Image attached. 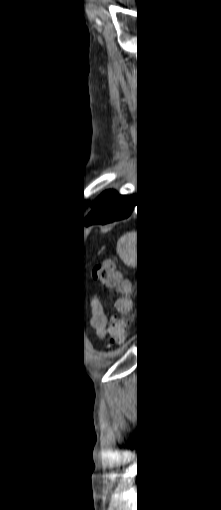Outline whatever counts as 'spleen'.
I'll list each match as a JSON object with an SVG mask.
<instances>
[{
  "label": "spleen",
  "instance_id": "1",
  "mask_svg": "<svg viewBox=\"0 0 221 510\" xmlns=\"http://www.w3.org/2000/svg\"><path fill=\"white\" fill-rule=\"evenodd\" d=\"M118 251L123 256L126 261H130L133 258V250H134V234L127 233L123 235L117 244Z\"/></svg>",
  "mask_w": 221,
  "mask_h": 510
}]
</instances>
